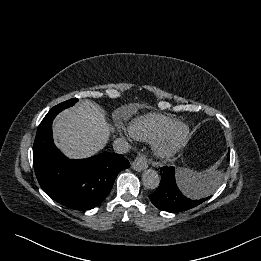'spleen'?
I'll use <instances>...</instances> for the list:
<instances>
[{"instance_id":"1","label":"spleen","mask_w":261,"mask_h":261,"mask_svg":"<svg viewBox=\"0 0 261 261\" xmlns=\"http://www.w3.org/2000/svg\"><path fill=\"white\" fill-rule=\"evenodd\" d=\"M189 173V172H187ZM191 182L197 185L201 190L200 193L191 195L192 198L200 199L201 197L208 196L215 191V189L219 185V180L217 176L213 173H205V174H192Z\"/></svg>"}]
</instances>
